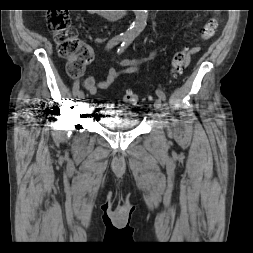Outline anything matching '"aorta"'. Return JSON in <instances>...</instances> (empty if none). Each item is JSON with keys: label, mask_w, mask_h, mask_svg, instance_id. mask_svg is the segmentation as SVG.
<instances>
[{"label": "aorta", "mask_w": 253, "mask_h": 253, "mask_svg": "<svg viewBox=\"0 0 253 253\" xmlns=\"http://www.w3.org/2000/svg\"><path fill=\"white\" fill-rule=\"evenodd\" d=\"M135 21H133L127 31L124 33V37L133 40L135 39L145 28L148 18V10H134Z\"/></svg>", "instance_id": "762f6f07"}]
</instances>
